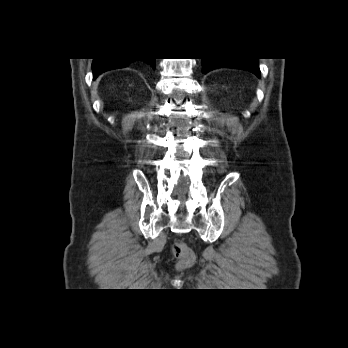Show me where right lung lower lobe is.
Masks as SVG:
<instances>
[{"instance_id": "obj_1", "label": "right lung lower lobe", "mask_w": 348, "mask_h": 348, "mask_svg": "<svg viewBox=\"0 0 348 348\" xmlns=\"http://www.w3.org/2000/svg\"><path fill=\"white\" fill-rule=\"evenodd\" d=\"M136 60H142V59H131V58H122V59L98 58V59H93V63H92L93 79H96L98 75H100L101 73L106 72L108 70L127 67L130 63H132ZM143 60L146 63L150 64L153 68H155V59L154 58L143 59Z\"/></svg>"}]
</instances>
